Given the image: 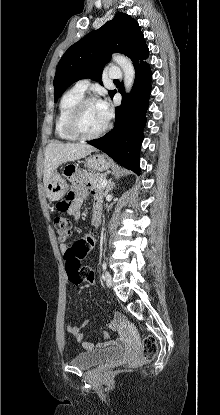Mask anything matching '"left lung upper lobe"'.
<instances>
[{
  "label": "left lung upper lobe",
  "instance_id": "1",
  "mask_svg": "<svg viewBox=\"0 0 220 415\" xmlns=\"http://www.w3.org/2000/svg\"><path fill=\"white\" fill-rule=\"evenodd\" d=\"M114 52L127 55L134 65L149 56L139 24L122 12L67 49L56 70L54 101L80 79L99 80L104 65L110 61ZM99 83L102 85L101 81ZM113 91H108L109 95Z\"/></svg>",
  "mask_w": 220,
  "mask_h": 415
}]
</instances>
